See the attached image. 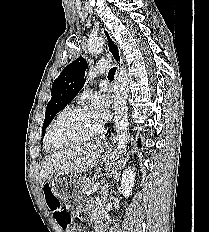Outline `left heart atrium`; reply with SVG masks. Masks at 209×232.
<instances>
[{
	"mask_svg": "<svg viewBox=\"0 0 209 232\" xmlns=\"http://www.w3.org/2000/svg\"><path fill=\"white\" fill-rule=\"evenodd\" d=\"M91 111L100 120H105L109 115V100L105 95L97 94L93 97Z\"/></svg>",
	"mask_w": 209,
	"mask_h": 232,
	"instance_id": "obj_1",
	"label": "left heart atrium"
}]
</instances>
